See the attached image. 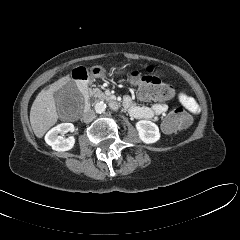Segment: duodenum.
<instances>
[{
	"label": "duodenum",
	"mask_w": 240,
	"mask_h": 240,
	"mask_svg": "<svg viewBox=\"0 0 240 240\" xmlns=\"http://www.w3.org/2000/svg\"><path fill=\"white\" fill-rule=\"evenodd\" d=\"M77 85L80 92L84 96V99H85L84 109L85 111H87L89 109V84H88L87 77H78ZM107 99L112 109L117 110L120 107V102L116 100L114 97L109 96L107 97Z\"/></svg>",
	"instance_id": "obj_1"
}]
</instances>
